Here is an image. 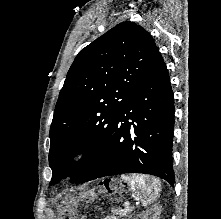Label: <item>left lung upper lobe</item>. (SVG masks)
<instances>
[{"label":"left lung upper lobe","mask_w":221,"mask_h":219,"mask_svg":"<svg viewBox=\"0 0 221 219\" xmlns=\"http://www.w3.org/2000/svg\"><path fill=\"white\" fill-rule=\"evenodd\" d=\"M158 53L152 36L122 22L82 49L60 91L50 128L52 182L78 183L96 163L114 123ZM85 157L77 164L70 159Z\"/></svg>","instance_id":"5c2ea615"}]
</instances>
